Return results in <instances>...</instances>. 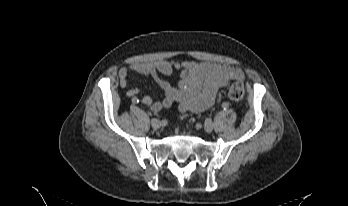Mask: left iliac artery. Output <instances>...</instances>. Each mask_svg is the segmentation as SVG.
<instances>
[{"mask_svg":"<svg viewBox=\"0 0 348 206\" xmlns=\"http://www.w3.org/2000/svg\"><path fill=\"white\" fill-rule=\"evenodd\" d=\"M231 108V105L228 102L223 103V110L228 111Z\"/></svg>","mask_w":348,"mask_h":206,"instance_id":"obj_1","label":"left iliac artery"}]
</instances>
